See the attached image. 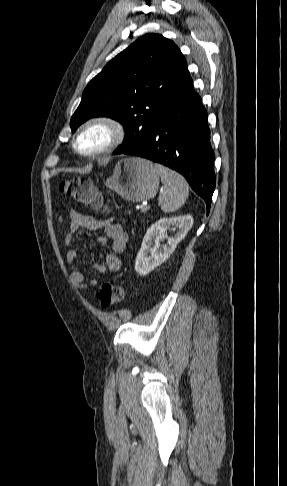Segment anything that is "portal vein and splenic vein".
I'll return each instance as SVG.
<instances>
[{
  "label": "portal vein and splenic vein",
  "instance_id": "obj_1",
  "mask_svg": "<svg viewBox=\"0 0 287 486\" xmlns=\"http://www.w3.org/2000/svg\"><path fill=\"white\" fill-rule=\"evenodd\" d=\"M141 208L145 209L147 211L150 208V206L147 204V202H143V204L141 205Z\"/></svg>",
  "mask_w": 287,
  "mask_h": 486
}]
</instances>
